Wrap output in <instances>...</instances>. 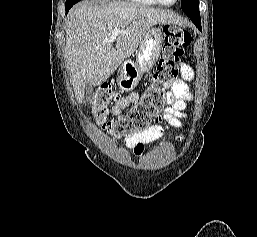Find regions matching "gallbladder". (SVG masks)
<instances>
[{
  "label": "gallbladder",
  "instance_id": "1",
  "mask_svg": "<svg viewBox=\"0 0 257 237\" xmlns=\"http://www.w3.org/2000/svg\"><path fill=\"white\" fill-rule=\"evenodd\" d=\"M84 101L90 102L93 98V87L90 83L84 85Z\"/></svg>",
  "mask_w": 257,
  "mask_h": 237
}]
</instances>
